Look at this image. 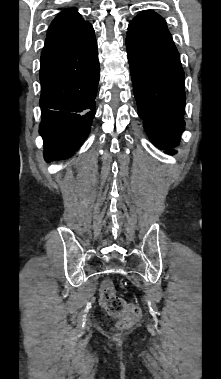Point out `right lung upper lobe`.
<instances>
[{"instance_id":"obj_1","label":"right lung upper lobe","mask_w":221,"mask_h":379,"mask_svg":"<svg viewBox=\"0 0 221 379\" xmlns=\"http://www.w3.org/2000/svg\"><path fill=\"white\" fill-rule=\"evenodd\" d=\"M87 21H84L78 10L68 8L57 15L49 26L45 44L64 38L78 29H80Z\"/></svg>"}]
</instances>
